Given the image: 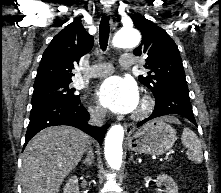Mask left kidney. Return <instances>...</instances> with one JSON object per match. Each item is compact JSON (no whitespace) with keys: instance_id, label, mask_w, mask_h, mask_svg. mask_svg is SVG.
Masks as SVG:
<instances>
[{"instance_id":"5707ae66","label":"left kidney","mask_w":221,"mask_h":193,"mask_svg":"<svg viewBox=\"0 0 221 193\" xmlns=\"http://www.w3.org/2000/svg\"><path fill=\"white\" fill-rule=\"evenodd\" d=\"M156 182L158 187L161 185H165L166 193H178V186L170 176L166 174H160L157 176Z\"/></svg>"}]
</instances>
